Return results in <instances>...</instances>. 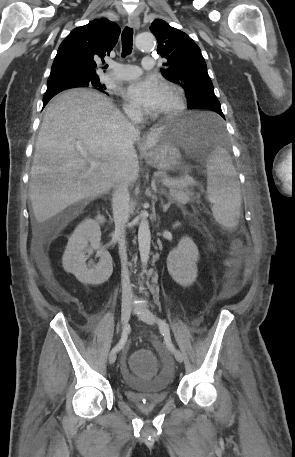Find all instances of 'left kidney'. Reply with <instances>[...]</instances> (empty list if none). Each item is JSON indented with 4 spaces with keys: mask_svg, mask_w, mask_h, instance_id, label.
<instances>
[{
    "mask_svg": "<svg viewBox=\"0 0 295 457\" xmlns=\"http://www.w3.org/2000/svg\"><path fill=\"white\" fill-rule=\"evenodd\" d=\"M199 251L196 244L189 237H183L177 248L167 257L168 272L173 280L183 287L190 286L197 278V261Z\"/></svg>",
    "mask_w": 295,
    "mask_h": 457,
    "instance_id": "left-kidney-1",
    "label": "left kidney"
}]
</instances>
